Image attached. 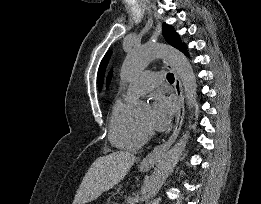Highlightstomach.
<instances>
[{"label":"stomach","mask_w":261,"mask_h":204,"mask_svg":"<svg viewBox=\"0 0 261 204\" xmlns=\"http://www.w3.org/2000/svg\"><path fill=\"white\" fill-rule=\"evenodd\" d=\"M140 169H141V171H146V170H148V169H149V167H144V166H141V167H140Z\"/></svg>","instance_id":"0dacf381"}]
</instances>
